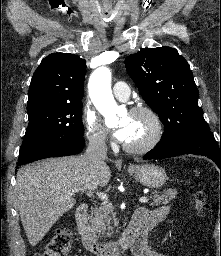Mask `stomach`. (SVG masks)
<instances>
[{
    "instance_id": "0dacf381",
    "label": "stomach",
    "mask_w": 221,
    "mask_h": 256,
    "mask_svg": "<svg viewBox=\"0 0 221 256\" xmlns=\"http://www.w3.org/2000/svg\"><path fill=\"white\" fill-rule=\"evenodd\" d=\"M128 171L137 181L149 188H159L167 179L165 170L156 165H133Z\"/></svg>"
}]
</instances>
